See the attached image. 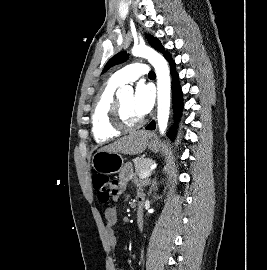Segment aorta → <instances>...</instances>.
I'll return each instance as SVG.
<instances>
[{"label":"aorta","instance_id":"1","mask_svg":"<svg viewBox=\"0 0 267 270\" xmlns=\"http://www.w3.org/2000/svg\"><path fill=\"white\" fill-rule=\"evenodd\" d=\"M132 55L135 57L146 58L154 67L157 76V95H158V127L161 135H164L167 129L169 111H170V92L171 80L167 61L154 49L146 45H137L132 48ZM120 95H132L131 86H123L119 91Z\"/></svg>","mask_w":267,"mask_h":270}]
</instances>
